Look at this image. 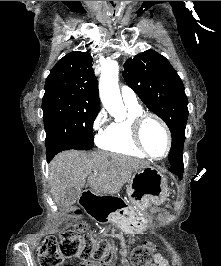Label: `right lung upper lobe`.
<instances>
[{"instance_id": "obj_1", "label": "right lung upper lobe", "mask_w": 221, "mask_h": 266, "mask_svg": "<svg viewBox=\"0 0 221 266\" xmlns=\"http://www.w3.org/2000/svg\"><path fill=\"white\" fill-rule=\"evenodd\" d=\"M88 52H71L52 68L45 93L60 92L80 99L87 108L99 110L98 82Z\"/></svg>"}]
</instances>
